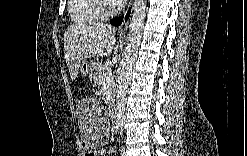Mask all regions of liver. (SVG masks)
I'll list each match as a JSON object with an SVG mask.
<instances>
[{"instance_id":"1","label":"liver","mask_w":247,"mask_h":156,"mask_svg":"<svg viewBox=\"0 0 247 156\" xmlns=\"http://www.w3.org/2000/svg\"><path fill=\"white\" fill-rule=\"evenodd\" d=\"M116 28L102 23L70 25L64 34V54L70 77L75 80L83 59L103 57L114 49Z\"/></svg>"}]
</instances>
